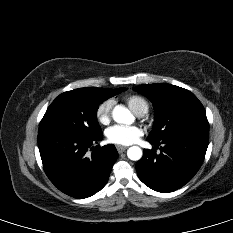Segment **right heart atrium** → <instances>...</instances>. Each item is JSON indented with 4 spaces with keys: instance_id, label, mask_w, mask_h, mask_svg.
Listing matches in <instances>:
<instances>
[{
    "instance_id": "obj_1",
    "label": "right heart atrium",
    "mask_w": 233,
    "mask_h": 233,
    "mask_svg": "<svg viewBox=\"0 0 233 233\" xmlns=\"http://www.w3.org/2000/svg\"><path fill=\"white\" fill-rule=\"evenodd\" d=\"M113 100L107 99L101 102L96 108V118L97 120L102 123L106 124L109 122L111 117V112L113 108Z\"/></svg>"
}]
</instances>
